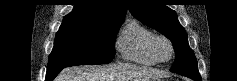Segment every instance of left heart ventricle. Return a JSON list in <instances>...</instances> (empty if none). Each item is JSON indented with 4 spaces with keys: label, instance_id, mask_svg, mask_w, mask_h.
<instances>
[{
    "label": "left heart ventricle",
    "instance_id": "b2bd125f",
    "mask_svg": "<svg viewBox=\"0 0 237 81\" xmlns=\"http://www.w3.org/2000/svg\"><path fill=\"white\" fill-rule=\"evenodd\" d=\"M159 56L162 59H167L170 56V48L165 42H160L158 45Z\"/></svg>",
    "mask_w": 237,
    "mask_h": 81
}]
</instances>
